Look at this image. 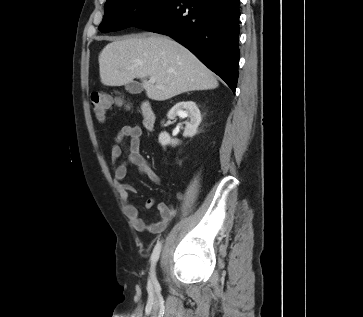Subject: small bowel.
<instances>
[{"instance_id": "c3829d8e", "label": "small bowel", "mask_w": 363, "mask_h": 317, "mask_svg": "<svg viewBox=\"0 0 363 317\" xmlns=\"http://www.w3.org/2000/svg\"><path fill=\"white\" fill-rule=\"evenodd\" d=\"M142 129L138 125H125L119 129L114 137L115 144L112 147V158H117L121 153V147H125V159L115 167L114 178L119 184L120 198L124 205V212L133 227L138 230L147 231L149 233H160L164 231L173 217L176 215V208L172 205L159 204L157 207L158 221L147 223L141 217L139 210L131 203L130 193L135 192V187L124 182L129 166H136L140 173L145 174L152 182L159 183L160 176L151 166V164L142 156L140 152V142ZM129 138V144L125 145V140ZM181 194H177V198L181 199ZM156 201L149 198L146 201V208H152Z\"/></svg>"}]
</instances>
